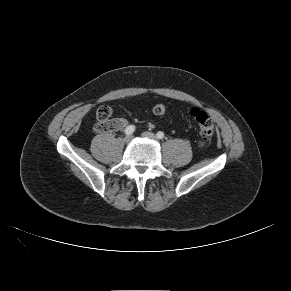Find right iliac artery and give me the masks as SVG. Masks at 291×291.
I'll list each match as a JSON object with an SVG mask.
<instances>
[{"label":"right iliac artery","instance_id":"82829eb1","mask_svg":"<svg viewBox=\"0 0 291 291\" xmlns=\"http://www.w3.org/2000/svg\"><path fill=\"white\" fill-rule=\"evenodd\" d=\"M134 131H135V126L134 125H129L125 129V134L126 135H131V134H133Z\"/></svg>","mask_w":291,"mask_h":291}]
</instances>
